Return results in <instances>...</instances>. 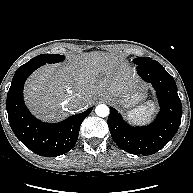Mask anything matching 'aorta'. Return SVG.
<instances>
[{
	"label": "aorta",
	"mask_w": 193,
	"mask_h": 193,
	"mask_svg": "<svg viewBox=\"0 0 193 193\" xmlns=\"http://www.w3.org/2000/svg\"><path fill=\"white\" fill-rule=\"evenodd\" d=\"M95 112L99 117H106L109 115V108L107 105L100 104L95 108Z\"/></svg>",
	"instance_id": "aorta-1"
}]
</instances>
